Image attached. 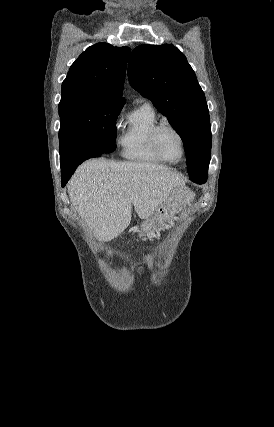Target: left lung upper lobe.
<instances>
[{"mask_svg":"<svg viewBox=\"0 0 274 427\" xmlns=\"http://www.w3.org/2000/svg\"><path fill=\"white\" fill-rule=\"evenodd\" d=\"M131 86L152 101L180 135L188 174L207 175L211 126L204 93L185 55L172 44L136 47L128 65Z\"/></svg>","mask_w":274,"mask_h":427,"instance_id":"left-lung-upper-lobe-1","label":"left lung upper lobe"}]
</instances>
